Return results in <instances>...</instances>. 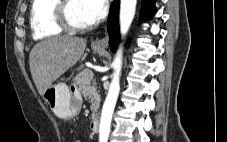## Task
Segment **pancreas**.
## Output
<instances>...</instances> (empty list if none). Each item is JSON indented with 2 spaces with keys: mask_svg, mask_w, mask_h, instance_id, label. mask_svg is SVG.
I'll return each instance as SVG.
<instances>
[{
  "mask_svg": "<svg viewBox=\"0 0 227 142\" xmlns=\"http://www.w3.org/2000/svg\"><path fill=\"white\" fill-rule=\"evenodd\" d=\"M89 70H84L76 75L74 78V84L78 87V91L83 97L91 103V110L96 114L100 107V95L97 91L95 81H89L87 79V73Z\"/></svg>",
  "mask_w": 227,
  "mask_h": 142,
  "instance_id": "1",
  "label": "pancreas"
}]
</instances>
